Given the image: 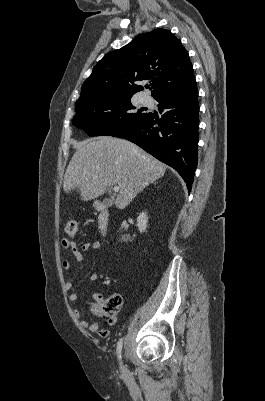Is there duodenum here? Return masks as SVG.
Segmentation results:
<instances>
[{
	"label": "duodenum",
	"mask_w": 265,
	"mask_h": 401,
	"mask_svg": "<svg viewBox=\"0 0 265 401\" xmlns=\"http://www.w3.org/2000/svg\"><path fill=\"white\" fill-rule=\"evenodd\" d=\"M96 208L99 212L98 215V228L102 234H106L109 228L110 212L107 206L98 202Z\"/></svg>",
	"instance_id": "1"
}]
</instances>
